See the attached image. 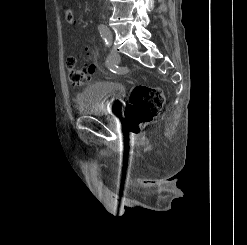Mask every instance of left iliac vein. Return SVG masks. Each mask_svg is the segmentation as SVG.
<instances>
[{"label": "left iliac vein", "instance_id": "1", "mask_svg": "<svg viewBox=\"0 0 247 245\" xmlns=\"http://www.w3.org/2000/svg\"><path fill=\"white\" fill-rule=\"evenodd\" d=\"M111 33V32H110ZM112 34V33H111ZM110 59L111 61L116 64L120 61V55L117 51H115L113 48L110 50Z\"/></svg>", "mask_w": 247, "mask_h": 245}]
</instances>
